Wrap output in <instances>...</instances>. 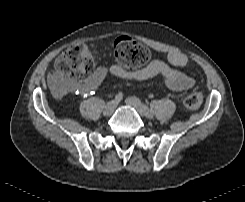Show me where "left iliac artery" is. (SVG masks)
Listing matches in <instances>:
<instances>
[{"mask_svg":"<svg viewBox=\"0 0 245 202\" xmlns=\"http://www.w3.org/2000/svg\"><path fill=\"white\" fill-rule=\"evenodd\" d=\"M143 109H144V113H145L146 117H148V118L153 117L151 110L146 105H143Z\"/></svg>","mask_w":245,"mask_h":202,"instance_id":"44dca946","label":"left iliac artery"}]
</instances>
